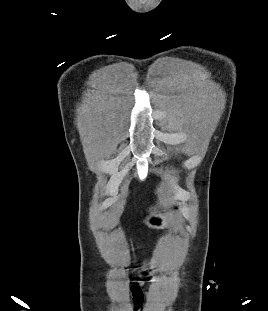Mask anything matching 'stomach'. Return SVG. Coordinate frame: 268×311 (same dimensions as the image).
<instances>
[{"mask_svg":"<svg viewBox=\"0 0 268 311\" xmlns=\"http://www.w3.org/2000/svg\"><path fill=\"white\" fill-rule=\"evenodd\" d=\"M178 217V213L172 210L169 213L164 212H154L149 214L145 219L144 223L153 229H165L171 226L172 218Z\"/></svg>","mask_w":268,"mask_h":311,"instance_id":"obj_1","label":"stomach"}]
</instances>
